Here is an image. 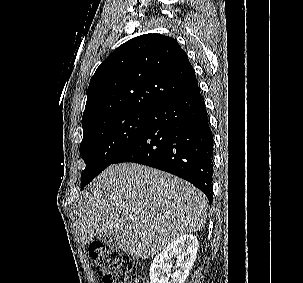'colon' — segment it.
<instances>
[{"label":"colon","instance_id":"5ec220e1","mask_svg":"<svg viewBox=\"0 0 303 283\" xmlns=\"http://www.w3.org/2000/svg\"><path fill=\"white\" fill-rule=\"evenodd\" d=\"M89 254L103 283H145L138 266L119 251L92 242Z\"/></svg>","mask_w":303,"mask_h":283}]
</instances>
